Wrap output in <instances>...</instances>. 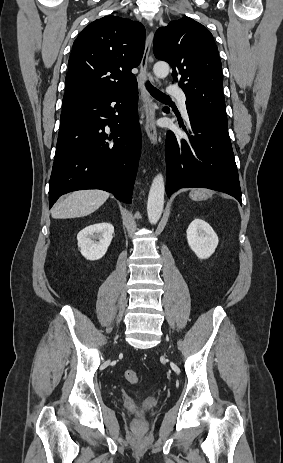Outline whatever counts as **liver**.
<instances>
[{"label": "liver", "instance_id": "obj_1", "mask_svg": "<svg viewBox=\"0 0 283 463\" xmlns=\"http://www.w3.org/2000/svg\"><path fill=\"white\" fill-rule=\"evenodd\" d=\"M103 190H82L68 194L57 202L51 211L54 219H68L87 216L96 211L108 199Z\"/></svg>", "mask_w": 283, "mask_h": 463}]
</instances>
